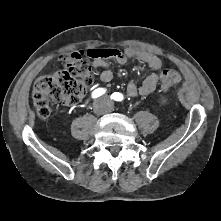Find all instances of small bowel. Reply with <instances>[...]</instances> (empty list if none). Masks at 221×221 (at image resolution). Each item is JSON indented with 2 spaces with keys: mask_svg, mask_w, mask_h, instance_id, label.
Here are the masks:
<instances>
[{
  "mask_svg": "<svg viewBox=\"0 0 221 221\" xmlns=\"http://www.w3.org/2000/svg\"><path fill=\"white\" fill-rule=\"evenodd\" d=\"M106 54L93 56L92 64L96 69H102L100 74V80L102 82H110L113 78V73L110 70L111 62L114 61L119 65H124L131 58H137L140 60L151 73L144 79L141 85H137L134 80L130 81L127 85L126 92L129 97H136L138 95L146 96L153 93L160 80L161 68L160 59L154 54L138 50L132 47L126 48L124 51H120L114 48L101 49Z\"/></svg>",
  "mask_w": 221,
  "mask_h": 221,
  "instance_id": "small-bowel-1",
  "label": "small bowel"
}]
</instances>
